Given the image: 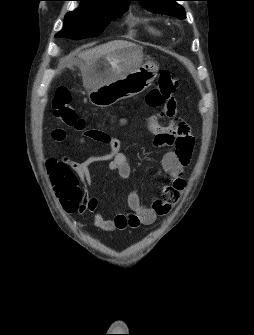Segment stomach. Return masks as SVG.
Returning a JSON list of instances; mask_svg holds the SVG:
<instances>
[{"mask_svg": "<svg viewBox=\"0 0 254 335\" xmlns=\"http://www.w3.org/2000/svg\"><path fill=\"white\" fill-rule=\"evenodd\" d=\"M142 48L128 46L98 59L87 72L89 101L97 107H108L133 97L152 85L158 72L154 63H141Z\"/></svg>", "mask_w": 254, "mask_h": 335, "instance_id": "obj_1", "label": "stomach"}]
</instances>
